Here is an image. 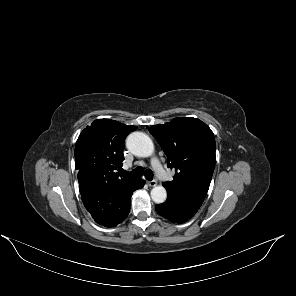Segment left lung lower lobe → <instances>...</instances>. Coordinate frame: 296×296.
Listing matches in <instances>:
<instances>
[{
	"label": "left lung lower lobe",
	"instance_id": "1",
	"mask_svg": "<svg viewBox=\"0 0 296 296\" xmlns=\"http://www.w3.org/2000/svg\"><path fill=\"white\" fill-rule=\"evenodd\" d=\"M203 200L180 198L168 195L163 204L156 205L155 209L164 218L174 223H184L192 218L200 208Z\"/></svg>",
	"mask_w": 296,
	"mask_h": 296
}]
</instances>
